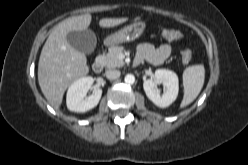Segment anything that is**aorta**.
<instances>
[{"label": "aorta", "instance_id": "aorta-1", "mask_svg": "<svg viewBox=\"0 0 248 165\" xmlns=\"http://www.w3.org/2000/svg\"><path fill=\"white\" fill-rule=\"evenodd\" d=\"M126 84H133L135 82V77L132 74H127L124 78Z\"/></svg>", "mask_w": 248, "mask_h": 165}]
</instances>
